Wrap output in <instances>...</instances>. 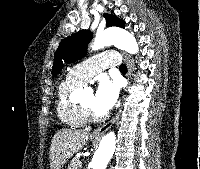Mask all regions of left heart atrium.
Masks as SVG:
<instances>
[{
    "label": "left heart atrium",
    "instance_id": "39dd6f15",
    "mask_svg": "<svg viewBox=\"0 0 200 169\" xmlns=\"http://www.w3.org/2000/svg\"><path fill=\"white\" fill-rule=\"evenodd\" d=\"M119 87L115 81L102 80L95 93L96 106L102 115L107 114L116 104Z\"/></svg>",
    "mask_w": 200,
    "mask_h": 169
}]
</instances>
